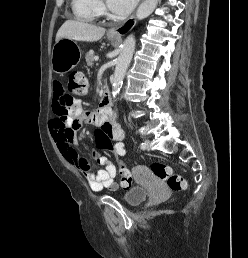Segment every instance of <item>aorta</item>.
Here are the masks:
<instances>
[{
	"label": "aorta",
	"mask_w": 248,
	"mask_h": 258,
	"mask_svg": "<svg viewBox=\"0 0 248 258\" xmlns=\"http://www.w3.org/2000/svg\"><path fill=\"white\" fill-rule=\"evenodd\" d=\"M158 2L159 0H144V2L137 9V19L142 20L148 17L157 7ZM135 44L136 41L133 35L128 36L123 43V47L118 56L114 71L112 83L113 97H115L120 91L123 79L125 77L126 69L132 60Z\"/></svg>",
	"instance_id": "aorta-1"
}]
</instances>
